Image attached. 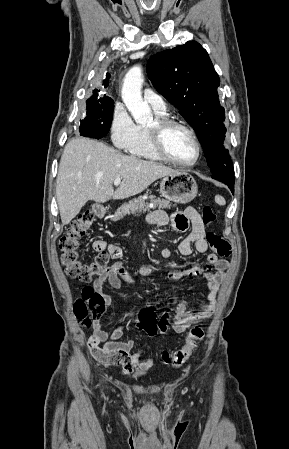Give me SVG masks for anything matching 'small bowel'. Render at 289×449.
Here are the masks:
<instances>
[{"instance_id":"c3829d8e","label":"small bowel","mask_w":289,"mask_h":449,"mask_svg":"<svg viewBox=\"0 0 289 449\" xmlns=\"http://www.w3.org/2000/svg\"><path fill=\"white\" fill-rule=\"evenodd\" d=\"M148 222L155 226L167 225L170 221L171 226L177 232H184L191 224L190 234L181 241L178 251L183 256H189L195 249L199 253H205L208 250V242L205 236V224L199 213L193 207H187L184 211L175 212L171 219L163 211H157L148 216ZM93 248L97 252L106 251L112 263L102 271L93 281V289L100 294L106 305L112 302L111 296L105 289V283L115 289H120L122 281L129 287L134 286V280L127 272L122 261V250L119 246L111 244L104 239H98L93 243ZM164 258H169L172 252L168 248L161 251ZM208 261L214 271L206 270L201 265H194L189 269H176L169 272L170 279L180 281L186 278L203 276L207 281V294L205 301L201 304L199 310L189 311L186 301H180L176 308V316L173 329L176 333L185 332L191 325L206 320L212 316L216 308L217 294L220 282L224 277V272L228 266V261L224 258L209 256ZM151 267L142 268L143 274H148ZM125 326L119 325L110 334L103 328L100 320L94 322L92 335L88 339V348L93 357L104 365H120L125 373L137 371L144 373L154 365L153 359L141 360V356L147 347L143 343L141 348L131 354L135 346L132 339L121 341Z\"/></svg>"}]
</instances>
